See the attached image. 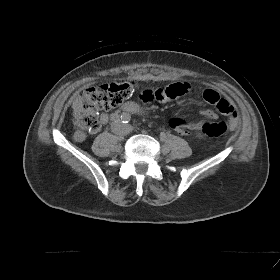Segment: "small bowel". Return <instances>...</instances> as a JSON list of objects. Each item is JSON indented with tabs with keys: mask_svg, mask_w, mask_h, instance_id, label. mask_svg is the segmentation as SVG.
<instances>
[{
	"mask_svg": "<svg viewBox=\"0 0 280 280\" xmlns=\"http://www.w3.org/2000/svg\"><path fill=\"white\" fill-rule=\"evenodd\" d=\"M191 87L185 82L172 83L164 88H159L155 90H144L140 98L143 102H168L177 99L190 91ZM202 97L205 102L216 106L218 111L229 117V125L231 128H236L238 125V114L235 107L227 99L222 98L220 94L212 89H206L202 93ZM201 114L206 119H216L217 114L208 108L201 110ZM109 117L106 113L100 115V123H107ZM202 122H186L181 118H173L170 121V126L179 134L187 135L191 131H197L202 128ZM77 141H83L86 138V134L82 130H77L75 135Z\"/></svg>",
	"mask_w": 280,
	"mask_h": 280,
	"instance_id": "obj_1",
	"label": "small bowel"
}]
</instances>
